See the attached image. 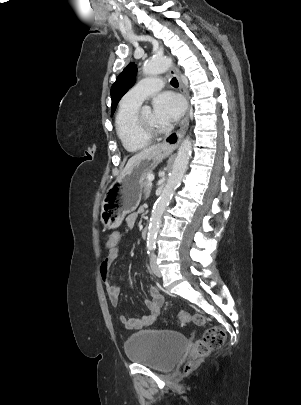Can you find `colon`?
Returning a JSON list of instances; mask_svg holds the SVG:
<instances>
[{"instance_id":"1","label":"colon","mask_w":301,"mask_h":405,"mask_svg":"<svg viewBox=\"0 0 301 405\" xmlns=\"http://www.w3.org/2000/svg\"><path fill=\"white\" fill-rule=\"evenodd\" d=\"M112 233V226L108 225L105 234L107 237H111ZM178 318L182 324H186L191 320L189 313L184 310L179 312ZM192 319L197 325H204L205 323V319L202 315H194ZM224 341L225 332L222 328L216 326L208 328L202 338L193 343L189 360L184 366V371L186 373L190 372L198 359L207 356L213 350L221 348Z\"/></svg>"}]
</instances>
